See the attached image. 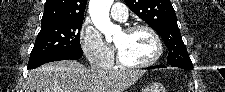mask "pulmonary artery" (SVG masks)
Masks as SVG:
<instances>
[{
	"label": "pulmonary artery",
	"instance_id": "1",
	"mask_svg": "<svg viewBox=\"0 0 225 92\" xmlns=\"http://www.w3.org/2000/svg\"><path fill=\"white\" fill-rule=\"evenodd\" d=\"M111 16L120 22H126L128 19V10L125 4L123 3L113 4L111 8Z\"/></svg>",
	"mask_w": 225,
	"mask_h": 92
}]
</instances>
